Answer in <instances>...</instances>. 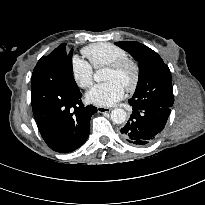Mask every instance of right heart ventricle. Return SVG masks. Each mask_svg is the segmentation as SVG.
Segmentation results:
<instances>
[{"mask_svg":"<svg viewBox=\"0 0 205 205\" xmlns=\"http://www.w3.org/2000/svg\"><path fill=\"white\" fill-rule=\"evenodd\" d=\"M82 53L93 68L104 67L114 61L128 57V53L123 48L109 42L90 44L83 48Z\"/></svg>","mask_w":205,"mask_h":205,"instance_id":"right-heart-ventricle-1","label":"right heart ventricle"}]
</instances>
